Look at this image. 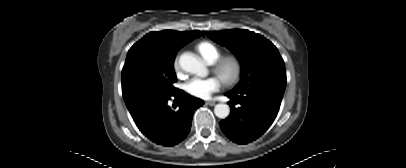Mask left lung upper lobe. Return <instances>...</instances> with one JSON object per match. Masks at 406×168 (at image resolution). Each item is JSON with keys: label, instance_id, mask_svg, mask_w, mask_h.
Here are the masks:
<instances>
[{"label": "left lung upper lobe", "instance_id": "5c2ea615", "mask_svg": "<svg viewBox=\"0 0 406 168\" xmlns=\"http://www.w3.org/2000/svg\"><path fill=\"white\" fill-rule=\"evenodd\" d=\"M213 41L232 50L242 65L240 83L230 92L274 90L284 93L285 63L277 48L263 36L248 30L205 32Z\"/></svg>", "mask_w": 406, "mask_h": 168}]
</instances>
